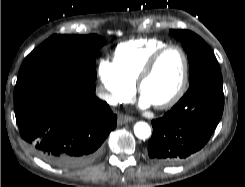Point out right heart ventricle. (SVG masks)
I'll list each match as a JSON object with an SVG mask.
<instances>
[{
    "label": "right heart ventricle",
    "instance_id": "right-heart-ventricle-1",
    "mask_svg": "<svg viewBox=\"0 0 245 187\" xmlns=\"http://www.w3.org/2000/svg\"><path fill=\"white\" fill-rule=\"evenodd\" d=\"M168 45L158 38H138L120 43L114 51V62L124 77L135 84L137 77L153 53Z\"/></svg>",
    "mask_w": 245,
    "mask_h": 187
}]
</instances>
